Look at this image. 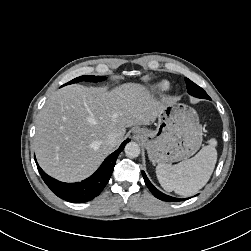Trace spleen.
I'll return each instance as SVG.
<instances>
[{"label":"spleen","mask_w":251,"mask_h":251,"mask_svg":"<svg viewBox=\"0 0 251 251\" xmlns=\"http://www.w3.org/2000/svg\"><path fill=\"white\" fill-rule=\"evenodd\" d=\"M217 141L212 138L194 157L177 165L160 163L156 176L164 190L183 196L195 194L211 177L217 161Z\"/></svg>","instance_id":"spleen-1"}]
</instances>
